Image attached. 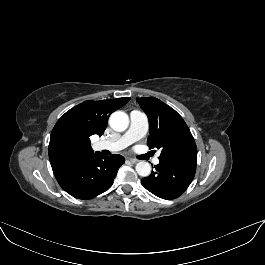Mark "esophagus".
Returning <instances> with one entry per match:
<instances>
[{
	"label": "esophagus",
	"mask_w": 265,
	"mask_h": 265,
	"mask_svg": "<svg viewBox=\"0 0 265 265\" xmlns=\"http://www.w3.org/2000/svg\"><path fill=\"white\" fill-rule=\"evenodd\" d=\"M129 159V161L131 162V163H137L138 162V160L137 159H134V158H128Z\"/></svg>",
	"instance_id": "1"
}]
</instances>
